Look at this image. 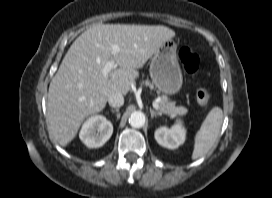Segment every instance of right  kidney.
Instances as JSON below:
<instances>
[{
  "label": "right kidney",
  "mask_w": 272,
  "mask_h": 198,
  "mask_svg": "<svg viewBox=\"0 0 272 198\" xmlns=\"http://www.w3.org/2000/svg\"><path fill=\"white\" fill-rule=\"evenodd\" d=\"M112 133V123L102 115H95L83 124L79 137L87 147L99 148L110 139Z\"/></svg>",
  "instance_id": "1"
}]
</instances>
